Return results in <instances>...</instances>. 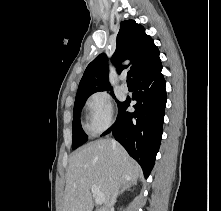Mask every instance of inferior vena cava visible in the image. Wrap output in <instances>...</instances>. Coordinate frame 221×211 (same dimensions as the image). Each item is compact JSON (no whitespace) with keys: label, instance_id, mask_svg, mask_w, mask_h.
Returning <instances> with one entry per match:
<instances>
[{"label":"inferior vena cava","instance_id":"inferior-vena-cava-1","mask_svg":"<svg viewBox=\"0 0 221 211\" xmlns=\"http://www.w3.org/2000/svg\"><path fill=\"white\" fill-rule=\"evenodd\" d=\"M112 144L114 147H116V142L114 140H112ZM117 195H118V190L114 189L111 194L110 204L104 209V211H111L112 205L116 201Z\"/></svg>","mask_w":221,"mask_h":211}]
</instances>
